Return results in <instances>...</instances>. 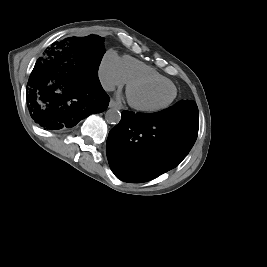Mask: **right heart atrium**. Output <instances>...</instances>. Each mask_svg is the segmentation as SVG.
Segmentation results:
<instances>
[{
  "mask_svg": "<svg viewBox=\"0 0 267 267\" xmlns=\"http://www.w3.org/2000/svg\"><path fill=\"white\" fill-rule=\"evenodd\" d=\"M98 76L103 88L107 91L122 87L126 83L121 60L115 52L105 53L99 65Z\"/></svg>",
  "mask_w": 267,
  "mask_h": 267,
  "instance_id": "obj_1",
  "label": "right heart atrium"
}]
</instances>
